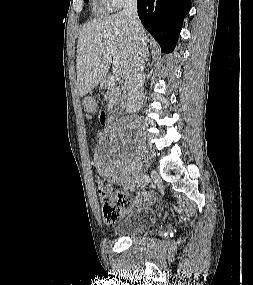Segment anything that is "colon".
I'll use <instances>...</instances> for the list:
<instances>
[{"label": "colon", "mask_w": 253, "mask_h": 285, "mask_svg": "<svg viewBox=\"0 0 253 285\" xmlns=\"http://www.w3.org/2000/svg\"><path fill=\"white\" fill-rule=\"evenodd\" d=\"M85 109L88 119L93 120L95 104L92 101H87ZM97 193L101 201L103 219L108 224L116 223L135 203L134 198L128 193L109 189L104 185L97 187Z\"/></svg>", "instance_id": "obj_1"}]
</instances>
